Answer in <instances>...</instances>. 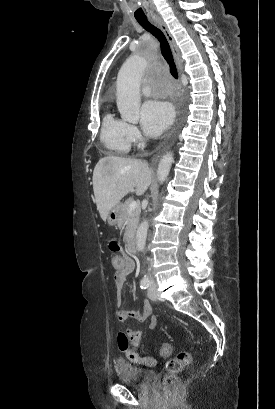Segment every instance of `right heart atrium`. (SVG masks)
<instances>
[{
	"mask_svg": "<svg viewBox=\"0 0 275 409\" xmlns=\"http://www.w3.org/2000/svg\"><path fill=\"white\" fill-rule=\"evenodd\" d=\"M128 130L132 142H138L141 138L139 128L136 125L128 124Z\"/></svg>",
	"mask_w": 275,
	"mask_h": 409,
	"instance_id": "obj_1",
	"label": "right heart atrium"
}]
</instances>
